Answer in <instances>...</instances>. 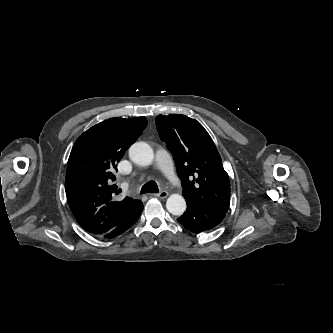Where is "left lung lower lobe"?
Instances as JSON below:
<instances>
[{"label": "left lung lower lobe", "instance_id": "0a47b994", "mask_svg": "<svg viewBox=\"0 0 333 333\" xmlns=\"http://www.w3.org/2000/svg\"><path fill=\"white\" fill-rule=\"evenodd\" d=\"M187 211L177 220L187 230L200 233L216 227L226 213L197 206L193 201L185 199Z\"/></svg>", "mask_w": 333, "mask_h": 333}]
</instances>
